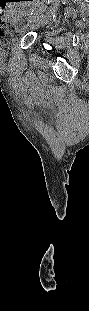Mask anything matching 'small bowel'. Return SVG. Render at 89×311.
<instances>
[{
    "instance_id": "1",
    "label": "small bowel",
    "mask_w": 89,
    "mask_h": 311,
    "mask_svg": "<svg viewBox=\"0 0 89 311\" xmlns=\"http://www.w3.org/2000/svg\"><path fill=\"white\" fill-rule=\"evenodd\" d=\"M8 18L11 19V20H15L17 18V14L15 13H9L8 14Z\"/></svg>"
}]
</instances>
